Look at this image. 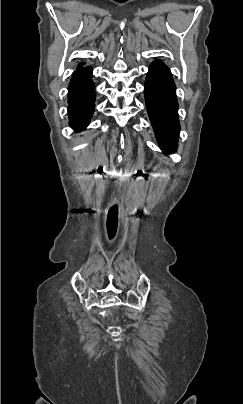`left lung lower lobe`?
Returning a JSON list of instances; mask_svg holds the SVG:
<instances>
[{"label": "left lung lower lobe", "mask_w": 243, "mask_h": 404, "mask_svg": "<svg viewBox=\"0 0 243 404\" xmlns=\"http://www.w3.org/2000/svg\"><path fill=\"white\" fill-rule=\"evenodd\" d=\"M144 95L159 146L165 153L174 152L180 131L176 86L170 69L161 60L149 67Z\"/></svg>", "instance_id": "left-lung-lower-lobe-1"}]
</instances>
